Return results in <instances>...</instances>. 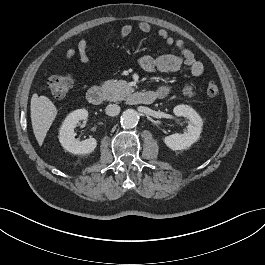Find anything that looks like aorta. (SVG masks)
<instances>
[{"instance_id":"762f6f07","label":"aorta","mask_w":265,"mask_h":265,"mask_svg":"<svg viewBox=\"0 0 265 265\" xmlns=\"http://www.w3.org/2000/svg\"><path fill=\"white\" fill-rule=\"evenodd\" d=\"M139 115L134 109H127L123 112L121 123L126 128H133L138 123Z\"/></svg>"}]
</instances>
